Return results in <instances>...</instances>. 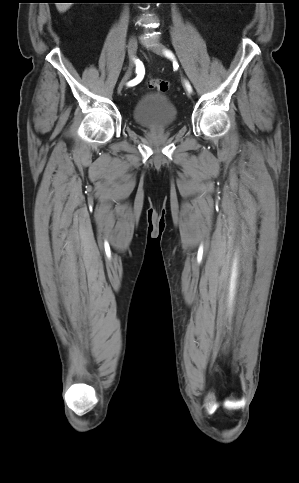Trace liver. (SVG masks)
I'll return each mask as SVG.
<instances>
[{
    "label": "liver",
    "instance_id": "obj_1",
    "mask_svg": "<svg viewBox=\"0 0 299 483\" xmlns=\"http://www.w3.org/2000/svg\"><path fill=\"white\" fill-rule=\"evenodd\" d=\"M72 3H56V7L59 12H65L70 8Z\"/></svg>",
    "mask_w": 299,
    "mask_h": 483
}]
</instances>
